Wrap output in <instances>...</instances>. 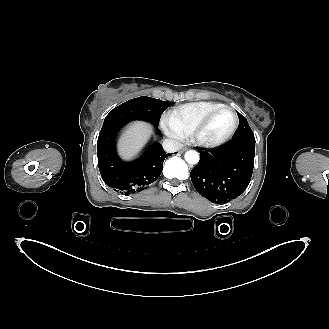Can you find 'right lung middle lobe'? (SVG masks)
<instances>
[{"label": "right lung middle lobe", "mask_w": 329, "mask_h": 329, "mask_svg": "<svg viewBox=\"0 0 329 329\" xmlns=\"http://www.w3.org/2000/svg\"><path fill=\"white\" fill-rule=\"evenodd\" d=\"M172 104V102L146 96L134 98L110 111L104 120V124L108 122L127 123L131 120L140 119L158 125L163 111Z\"/></svg>", "instance_id": "1"}]
</instances>
